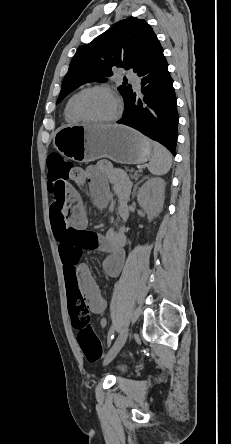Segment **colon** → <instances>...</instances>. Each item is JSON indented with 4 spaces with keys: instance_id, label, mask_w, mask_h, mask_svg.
Masks as SVG:
<instances>
[{
    "instance_id": "1",
    "label": "colon",
    "mask_w": 231,
    "mask_h": 444,
    "mask_svg": "<svg viewBox=\"0 0 231 444\" xmlns=\"http://www.w3.org/2000/svg\"><path fill=\"white\" fill-rule=\"evenodd\" d=\"M49 191L57 199L60 190L65 189L73 175L79 170L73 163L57 153L50 154L47 159ZM68 304L73 327L77 330V340L81 351L89 362H96L102 356L101 342L90 324V314L84 298L78 290L69 287Z\"/></svg>"
}]
</instances>
